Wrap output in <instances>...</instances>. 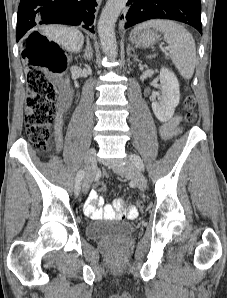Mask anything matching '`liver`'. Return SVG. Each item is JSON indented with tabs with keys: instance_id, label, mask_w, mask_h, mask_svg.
Masks as SVG:
<instances>
[{
	"instance_id": "6515ba94",
	"label": "liver",
	"mask_w": 227,
	"mask_h": 298,
	"mask_svg": "<svg viewBox=\"0 0 227 298\" xmlns=\"http://www.w3.org/2000/svg\"><path fill=\"white\" fill-rule=\"evenodd\" d=\"M43 33L49 40L60 44L69 52H80L84 43L83 34L73 27L48 25L43 27Z\"/></svg>"
}]
</instances>
